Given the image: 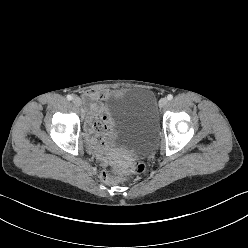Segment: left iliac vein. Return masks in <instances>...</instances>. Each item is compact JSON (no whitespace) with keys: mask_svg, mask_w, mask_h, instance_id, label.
I'll use <instances>...</instances> for the list:
<instances>
[{"mask_svg":"<svg viewBox=\"0 0 248 248\" xmlns=\"http://www.w3.org/2000/svg\"><path fill=\"white\" fill-rule=\"evenodd\" d=\"M167 103H168V99L163 97L159 100V107L163 108L167 105Z\"/></svg>","mask_w":248,"mask_h":248,"instance_id":"4c4485c4","label":"left iliac vein"}]
</instances>
